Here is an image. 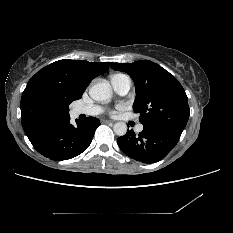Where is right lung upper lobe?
<instances>
[{
  "mask_svg": "<svg viewBox=\"0 0 233 233\" xmlns=\"http://www.w3.org/2000/svg\"><path fill=\"white\" fill-rule=\"evenodd\" d=\"M109 64L62 59L38 71L21 97V121L27 137L69 119V104L81 98L92 79L104 73Z\"/></svg>",
  "mask_w": 233,
  "mask_h": 233,
  "instance_id": "cb5924a9",
  "label": "right lung upper lobe"
}]
</instances>
